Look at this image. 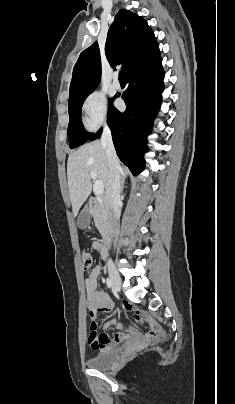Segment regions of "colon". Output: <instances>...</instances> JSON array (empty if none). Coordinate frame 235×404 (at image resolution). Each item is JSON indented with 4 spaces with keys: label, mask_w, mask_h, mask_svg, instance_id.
Instances as JSON below:
<instances>
[{
    "label": "colon",
    "mask_w": 235,
    "mask_h": 404,
    "mask_svg": "<svg viewBox=\"0 0 235 404\" xmlns=\"http://www.w3.org/2000/svg\"><path fill=\"white\" fill-rule=\"evenodd\" d=\"M80 258L82 263V269L84 271H88L91 268L93 262L90 251L87 249H82L80 251ZM95 318L96 316L90 315L89 330L93 334H95L97 331V323ZM146 335L151 342H161L164 339V333L160 329L152 326L147 331Z\"/></svg>",
    "instance_id": "colon-1"
}]
</instances>
